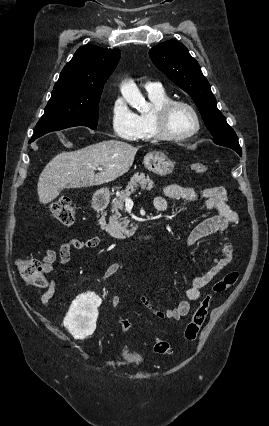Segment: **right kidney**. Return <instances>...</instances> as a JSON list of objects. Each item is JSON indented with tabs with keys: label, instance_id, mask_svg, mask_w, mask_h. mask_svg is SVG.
<instances>
[{
	"label": "right kidney",
	"instance_id": "1",
	"mask_svg": "<svg viewBox=\"0 0 269 426\" xmlns=\"http://www.w3.org/2000/svg\"><path fill=\"white\" fill-rule=\"evenodd\" d=\"M100 303L92 293L81 295L73 301L63 324L75 339H84L94 333Z\"/></svg>",
	"mask_w": 269,
	"mask_h": 426
}]
</instances>
